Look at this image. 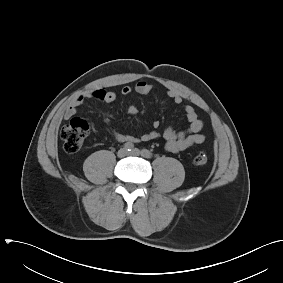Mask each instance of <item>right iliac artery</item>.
Wrapping results in <instances>:
<instances>
[{
    "label": "right iliac artery",
    "mask_w": 283,
    "mask_h": 283,
    "mask_svg": "<svg viewBox=\"0 0 283 283\" xmlns=\"http://www.w3.org/2000/svg\"><path fill=\"white\" fill-rule=\"evenodd\" d=\"M124 148L127 150V151H132L133 148H134V144L133 143H130V142H127L124 144Z\"/></svg>",
    "instance_id": "right-iliac-artery-1"
}]
</instances>
